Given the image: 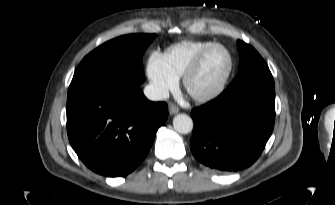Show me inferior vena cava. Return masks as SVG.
Returning a JSON list of instances; mask_svg holds the SVG:
<instances>
[{
	"label": "inferior vena cava",
	"instance_id": "1",
	"mask_svg": "<svg viewBox=\"0 0 335 205\" xmlns=\"http://www.w3.org/2000/svg\"><path fill=\"white\" fill-rule=\"evenodd\" d=\"M145 96L152 101H160L168 98L169 93L167 90L159 89L153 85H147L144 88Z\"/></svg>",
	"mask_w": 335,
	"mask_h": 205
}]
</instances>
